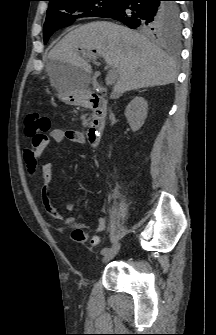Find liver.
Wrapping results in <instances>:
<instances>
[{
  "mask_svg": "<svg viewBox=\"0 0 216 335\" xmlns=\"http://www.w3.org/2000/svg\"><path fill=\"white\" fill-rule=\"evenodd\" d=\"M93 50L118 74L113 87L116 96L176 79L175 62L145 36L124 26L96 21L70 31L49 52L47 71L52 85L56 87L58 77H64L73 89L86 86L91 65L85 54Z\"/></svg>",
  "mask_w": 216,
  "mask_h": 335,
  "instance_id": "liver-1",
  "label": "liver"
}]
</instances>
